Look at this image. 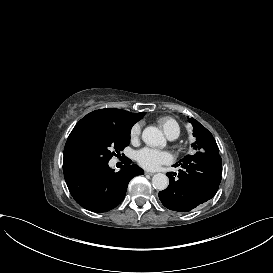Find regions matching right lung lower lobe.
I'll list each match as a JSON object with an SVG mask.
<instances>
[{
    "label": "right lung lower lobe",
    "instance_id": "1",
    "mask_svg": "<svg viewBox=\"0 0 273 273\" xmlns=\"http://www.w3.org/2000/svg\"><path fill=\"white\" fill-rule=\"evenodd\" d=\"M130 162L127 161L117 173L109 168L108 162L80 165L64 171L70 194L79 205L92 212L115 208L124 199L129 181L144 173Z\"/></svg>",
    "mask_w": 273,
    "mask_h": 273
}]
</instances>
